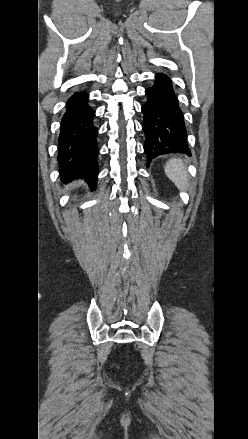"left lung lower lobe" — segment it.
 Returning <instances> with one entry per match:
<instances>
[{"instance_id": "0a47b994", "label": "left lung lower lobe", "mask_w": 248, "mask_h": 439, "mask_svg": "<svg viewBox=\"0 0 248 439\" xmlns=\"http://www.w3.org/2000/svg\"><path fill=\"white\" fill-rule=\"evenodd\" d=\"M145 94L147 101L142 106V129L146 137L147 166L159 155L190 153L183 113L171 79L165 74H156L154 85L147 88Z\"/></svg>"}]
</instances>
